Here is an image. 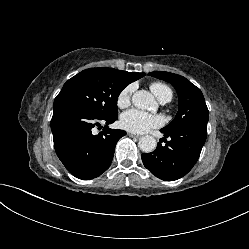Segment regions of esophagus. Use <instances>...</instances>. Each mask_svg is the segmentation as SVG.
Wrapping results in <instances>:
<instances>
[{
	"label": "esophagus",
	"instance_id": "34e87169",
	"mask_svg": "<svg viewBox=\"0 0 249 249\" xmlns=\"http://www.w3.org/2000/svg\"><path fill=\"white\" fill-rule=\"evenodd\" d=\"M127 135L130 137H136V138L140 137L139 135L131 133V132H128Z\"/></svg>",
	"mask_w": 249,
	"mask_h": 249
}]
</instances>
